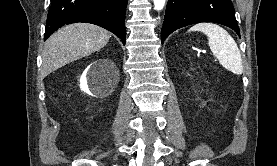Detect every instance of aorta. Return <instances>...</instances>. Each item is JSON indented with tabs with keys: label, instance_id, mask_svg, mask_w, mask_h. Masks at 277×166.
I'll use <instances>...</instances> for the list:
<instances>
[{
	"label": "aorta",
	"instance_id": "1",
	"mask_svg": "<svg viewBox=\"0 0 277 166\" xmlns=\"http://www.w3.org/2000/svg\"><path fill=\"white\" fill-rule=\"evenodd\" d=\"M153 2L156 10H162L166 0H153Z\"/></svg>",
	"mask_w": 277,
	"mask_h": 166
}]
</instances>
